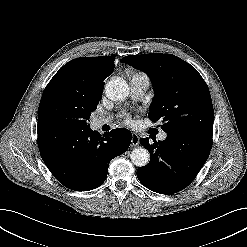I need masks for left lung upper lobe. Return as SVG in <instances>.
Listing matches in <instances>:
<instances>
[{
    "mask_svg": "<svg viewBox=\"0 0 247 247\" xmlns=\"http://www.w3.org/2000/svg\"><path fill=\"white\" fill-rule=\"evenodd\" d=\"M151 78L155 95L149 119L161 120L166 133L213 135L209 89L198 71L172 54L128 55L121 59Z\"/></svg>",
    "mask_w": 247,
    "mask_h": 247,
    "instance_id": "1",
    "label": "left lung upper lobe"
}]
</instances>
